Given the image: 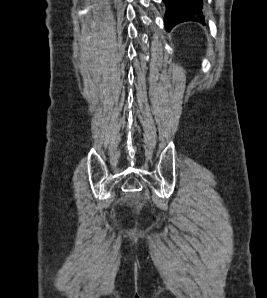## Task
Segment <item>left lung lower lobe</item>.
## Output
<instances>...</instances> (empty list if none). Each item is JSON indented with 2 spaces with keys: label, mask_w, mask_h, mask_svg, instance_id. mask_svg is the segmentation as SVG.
<instances>
[{
  "label": "left lung lower lobe",
  "mask_w": 267,
  "mask_h": 298,
  "mask_svg": "<svg viewBox=\"0 0 267 298\" xmlns=\"http://www.w3.org/2000/svg\"><path fill=\"white\" fill-rule=\"evenodd\" d=\"M167 11L165 15V25L167 31L176 24L184 21H201V0H163Z\"/></svg>",
  "instance_id": "0a47b994"
}]
</instances>
